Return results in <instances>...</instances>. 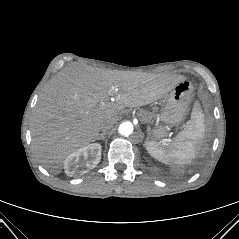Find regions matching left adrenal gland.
Segmentation results:
<instances>
[{"instance_id":"obj_1","label":"left adrenal gland","mask_w":239,"mask_h":239,"mask_svg":"<svg viewBox=\"0 0 239 239\" xmlns=\"http://www.w3.org/2000/svg\"><path fill=\"white\" fill-rule=\"evenodd\" d=\"M147 132H148V136L150 135V127L148 126L147 127ZM147 139H148V137H147ZM143 146H145V144H143Z\"/></svg>"}]
</instances>
